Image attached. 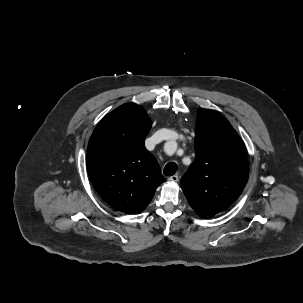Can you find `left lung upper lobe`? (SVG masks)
<instances>
[{
    "instance_id": "5c2ea615",
    "label": "left lung upper lobe",
    "mask_w": 303,
    "mask_h": 303,
    "mask_svg": "<svg viewBox=\"0 0 303 303\" xmlns=\"http://www.w3.org/2000/svg\"><path fill=\"white\" fill-rule=\"evenodd\" d=\"M249 173L243 141L219 113L201 109L196 124L195 161L180 181L196 213L213 217L243 191Z\"/></svg>"
}]
</instances>
